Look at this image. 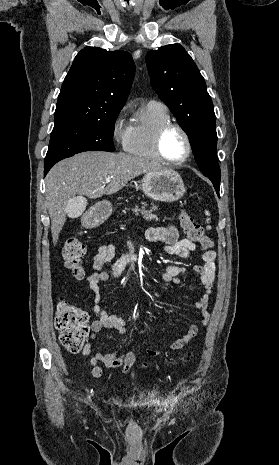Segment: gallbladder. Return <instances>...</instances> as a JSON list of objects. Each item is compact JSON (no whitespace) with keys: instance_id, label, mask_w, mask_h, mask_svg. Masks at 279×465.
<instances>
[{"instance_id":"gallbladder-1","label":"gallbladder","mask_w":279,"mask_h":465,"mask_svg":"<svg viewBox=\"0 0 279 465\" xmlns=\"http://www.w3.org/2000/svg\"><path fill=\"white\" fill-rule=\"evenodd\" d=\"M84 211V199L77 196L69 200L67 204V215L71 219H76L81 216Z\"/></svg>"}]
</instances>
